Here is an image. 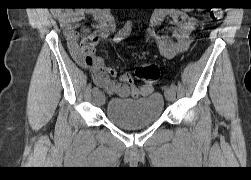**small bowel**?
<instances>
[{
    "label": "small bowel",
    "instance_id": "small-bowel-1",
    "mask_svg": "<svg viewBox=\"0 0 251 180\" xmlns=\"http://www.w3.org/2000/svg\"><path fill=\"white\" fill-rule=\"evenodd\" d=\"M85 15L90 16L92 24L78 31L75 23ZM166 17H170L172 23L177 26L172 35L160 33L158 30ZM58 20L72 57L81 66L92 70V78L96 86L108 94L121 98L128 96L140 98L152 93L153 86L135 85L130 74L118 71L107 65L102 58L95 56L98 42L107 38L114 28L109 13L102 9L76 10L60 13ZM196 24L197 19L182 10L158 8L152 13L148 32L155 40L161 55L171 59L189 49Z\"/></svg>",
    "mask_w": 251,
    "mask_h": 180
}]
</instances>
